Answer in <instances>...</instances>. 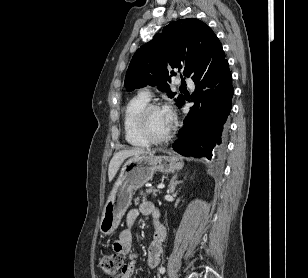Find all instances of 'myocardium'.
<instances>
[{
	"label": "myocardium",
	"instance_id": "myocardium-1",
	"mask_svg": "<svg viewBox=\"0 0 308 278\" xmlns=\"http://www.w3.org/2000/svg\"><path fill=\"white\" fill-rule=\"evenodd\" d=\"M156 109H161V106L157 103H148L145 105L136 116V126L140 134L150 143L158 144L166 142L171 137V129L163 136H155L149 129L148 116Z\"/></svg>",
	"mask_w": 308,
	"mask_h": 278
}]
</instances>
